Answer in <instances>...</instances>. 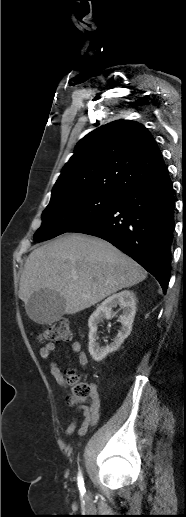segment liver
I'll return each instance as SVG.
<instances>
[{"instance_id": "obj_1", "label": "liver", "mask_w": 186, "mask_h": 517, "mask_svg": "<svg viewBox=\"0 0 186 517\" xmlns=\"http://www.w3.org/2000/svg\"><path fill=\"white\" fill-rule=\"evenodd\" d=\"M146 277L143 267L109 242L65 234L29 254L19 298L26 306L33 293L53 290L65 300L64 313L72 315Z\"/></svg>"}]
</instances>
